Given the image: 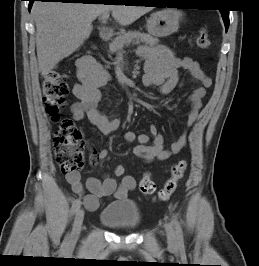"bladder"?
Segmentation results:
<instances>
[{"mask_svg": "<svg viewBox=\"0 0 259 266\" xmlns=\"http://www.w3.org/2000/svg\"><path fill=\"white\" fill-rule=\"evenodd\" d=\"M100 221L112 229L132 231L139 226L141 214L133 201L113 202L102 210Z\"/></svg>", "mask_w": 259, "mask_h": 266, "instance_id": "31cf9c89", "label": "bladder"}]
</instances>
